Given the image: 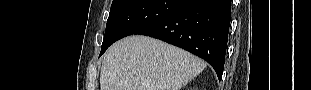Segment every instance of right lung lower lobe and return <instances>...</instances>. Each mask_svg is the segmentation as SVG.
Listing matches in <instances>:
<instances>
[{
    "instance_id": "1",
    "label": "right lung lower lobe",
    "mask_w": 311,
    "mask_h": 90,
    "mask_svg": "<svg viewBox=\"0 0 311 90\" xmlns=\"http://www.w3.org/2000/svg\"><path fill=\"white\" fill-rule=\"evenodd\" d=\"M231 0H183L171 13L136 34L181 47L212 65L222 77Z\"/></svg>"
}]
</instances>
